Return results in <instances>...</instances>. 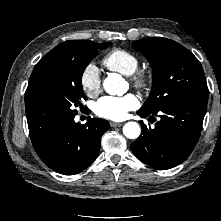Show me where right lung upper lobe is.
Wrapping results in <instances>:
<instances>
[{
	"label": "right lung upper lobe",
	"instance_id": "right-lung-upper-lobe-1",
	"mask_svg": "<svg viewBox=\"0 0 221 221\" xmlns=\"http://www.w3.org/2000/svg\"><path fill=\"white\" fill-rule=\"evenodd\" d=\"M76 41H81V40H72V41H67V42L61 43V44H59L58 46H56V47H55L54 49H52V50H56V49H58V48L64 47V46H66V45H68V44H71V43H73V42H76ZM30 85H31V83H30V80H29V85H28V88H27L26 93H25V103H27V102H29V101H32V100L30 99L29 95H28V94H29Z\"/></svg>",
	"mask_w": 221,
	"mask_h": 221
}]
</instances>
